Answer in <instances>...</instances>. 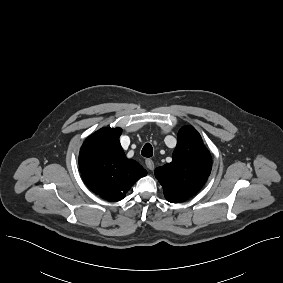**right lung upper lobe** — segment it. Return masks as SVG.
Instances as JSON below:
<instances>
[{
    "instance_id": "obj_1",
    "label": "right lung upper lobe",
    "mask_w": 283,
    "mask_h": 283,
    "mask_svg": "<svg viewBox=\"0 0 283 283\" xmlns=\"http://www.w3.org/2000/svg\"><path fill=\"white\" fill-rule=\"evenodd\" d=\"M120 128H102L90 135L81 147L79 167L86 185L110 201H119L146 170L128 159L120 145Z\"/></svg>"
}]
</instances>
